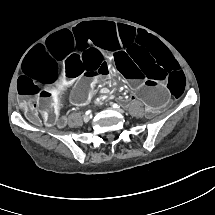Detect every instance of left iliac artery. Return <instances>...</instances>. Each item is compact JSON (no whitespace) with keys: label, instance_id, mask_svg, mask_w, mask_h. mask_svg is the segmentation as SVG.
Here are the masks:
<instances>
[{"label":"left iliac artery","instance_id":"44dca946","mask_svg":"<svg viewBox=\"0 0 215 215\" xmlns=\"http://www.w3.org/2000/svg\"><path fill=\"white\" fill-rule=\"evenodd\" d=\"M112 106H113V108H120V106L117 105L116 103H114Z\"/></svg>","mask_w":215,"mask_h":215}]
</instances>
